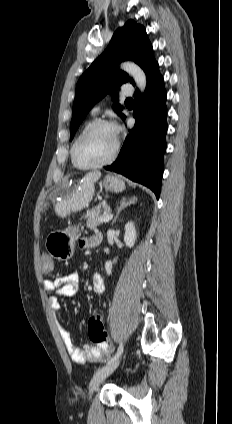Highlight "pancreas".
I'll return each mask as SVG.
<instances>
[{"mask_svg": "<svg viewBox=\"0 0 232 424\" xmlns=\"http://www.w3.org/2000/svg\"><path fill=\"white\" fill-rule=\"evenodd\" d=\"M101 208H102V210H101ZM102 212H103V215H101ZM110 212H111L110 207L107 204H102V205H99V206L93 208L88 215L86 226L89 229L96 228L97 226H99L103 223L102 221H99V218L103 217L104 214H107V213H110Z\"/></svg>", "mask_w": 232, "mask_h": 424, "instance_id": "pancreas-1", "label": "pancreas"}]
</instances>
